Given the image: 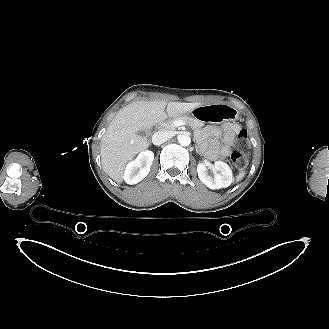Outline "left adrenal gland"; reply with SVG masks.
Instances as JSON below:
<instances>
[{
	"mask_svg": "<svg viewBox=\"0 0 329 329\" xmlns=\"http://www.w3.org/2000/svg\"><path fill=\"white\" fill-rule=\"evenodd\" d=\"M196 152H197V153H200V151L198 150L197 146H196Z\"/></svg>",
	"mask_w": 329,
	"mask_h": 329,
	"instance_id": "obj_1",
	"label": "left adrenal gland"
}]
</instances>
